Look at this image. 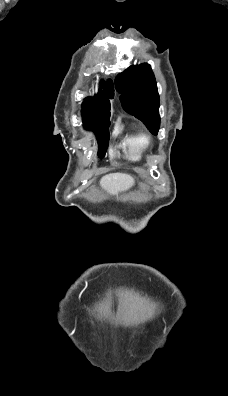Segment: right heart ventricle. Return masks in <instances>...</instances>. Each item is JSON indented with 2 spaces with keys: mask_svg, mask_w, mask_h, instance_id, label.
I'll return each mask as SVG.
<instances>
[{
  "mask_svg": "<svg viewBox=\"0 0 228 396\" xmlns=\"http://www.w3.org/2000/svg\"><path fill=\"white\" fill-rule=\"evenodd\" d=\"M150 138L142 131H137L127 136L122 146L127 150L129 158L133 160L139 159L143 152L148 149Z\"/></svg>",
  "mask_w": 228,
  "mask_h": 396,
  "instance_id": "right-heart-ventricle-1",
  "label": "right heart ventricle"
}]
</instances>
